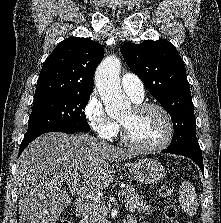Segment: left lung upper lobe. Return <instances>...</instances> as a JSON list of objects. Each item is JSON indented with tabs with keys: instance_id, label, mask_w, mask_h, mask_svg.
<instances>
[{
	"instance_id": "obj_1",
	"label": "left lung upper lobe",
	"mask_w": 221,
	"mask_h": 223,
	"mask_svg": "<svg viewBox=\"0 0 221 223\" xmlns=\"http://www.w3.org/2000/svg\"><path fill=\"white\" fill-rule=\"evenodd\" d=\"M120 50L130 69L171 115L174 135L169 147H200L185 65L176 48L159 39L126 43Z\"/></svg>"
}]
</instances>
